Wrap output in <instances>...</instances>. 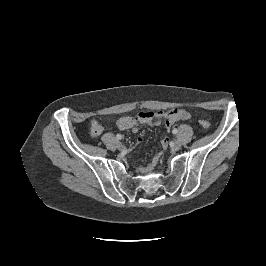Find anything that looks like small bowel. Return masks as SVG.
I'll list each match as a JSON object with an SVG mask.
<instances>
[{"label": "small bowel", "mask_w": 266, "mask_h": 266, "mask_svg": "<svg viewBox=\"0 0 266 266\" xmlns=\"http://www.w3.org/2000/svg\"><path fill=\"white\" fill-rule=\"evenodd\" d=\"M191 115L184 109H172L167 112L163 111H146L139 112L134 116H123L117 121V127L119 130H132L136 132L141 125H157L164 124L165 129L168 131L178 121L188 120ZM103 132L102 124L97 120H92L90 124V133L92 137H99ZM168 138L163 137L161 144L163 147H167ZM159 155L154 156L151 167H153L158 161Z\"/></svg>", "instance_id": "small-bowel-1"}]
</instances>
